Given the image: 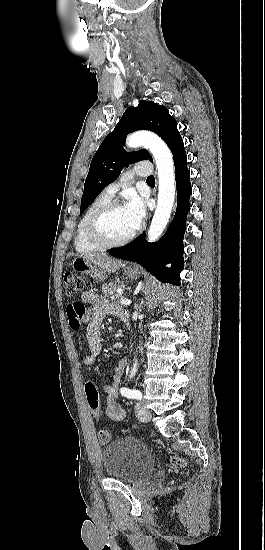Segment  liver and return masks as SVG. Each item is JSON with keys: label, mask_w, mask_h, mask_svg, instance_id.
<instances>
[{"label": "liver", "mask_w": 265, "mask_h": 550, "mask_svg": "<svg viewBox=\"0 0 265 550\" xmlns=\"http://www.w3.org/2000/svg\"><path fill=\"white\" fill-rule=\"evenodd\" d=\"M82 258L92 261L94 264L99 266L104 272L113 273L117 271L120 267H124L125 263L117 260L112 259L105 254H91V255H84Z\"/></svg>", "instance_id": "1"}]
</instances>
